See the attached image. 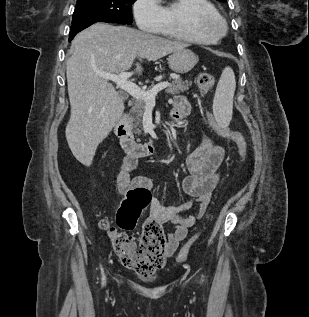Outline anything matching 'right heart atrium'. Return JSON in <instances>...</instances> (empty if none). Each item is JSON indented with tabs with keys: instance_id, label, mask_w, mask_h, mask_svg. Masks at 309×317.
<instances>
[{
	"instance_id": "right-heart-atrium-1",
	"label": "right heart atrium",
	"mask_w": 309,
	"mask_h": 317,
	"mask_svg": "<svg viewBox=\"0 0 309 317\" xmlns=\"http://www.w3.org/2000/svg\"><path fill=\"white\" fill-rule=\"evenodd\" d=\"M132 12L138 27L149 33H157L164 24L163 8L159 0H135Z\"/></svg>"
}]
</instances>
